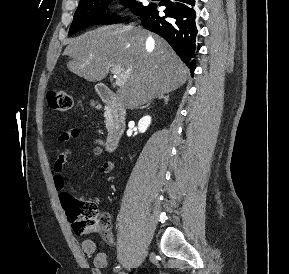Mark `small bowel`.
Returning <instances> with one entry per match:
<instances>
[{"label":"small bowel","instance_id":"c3829d8e","mask_svg":"<svg viewBox=\"0 0 289 274\" xmlns=\"http://www.w3.org/2000/svg\"><path fill=\"white\" fill-rule=\"evenodd\" d=\"M81 136L82 132L79 128H71L67 131L60 133L57 140L58 142L63 143L70 139H79ZM100 144L101 141L97 140V145L94 146L90 151L91 155L93 156L101 155L102 148ZM72 154H73L72 149L68 148L60 152L56 157V160L54 162L53 184L57 191H62L65 188V178L62 175V169L63 166L66 164V162L71 158ZM113 167L114 164L112 161H105L101 165L100 170L102 173H109L113 169ZM103 238L110 246L112 247L116 246L111 233H109L107 236H103ZM81 249L84 252V254L88 256L94 255L93 263L96 268L102 269L108 266L109 264L108 255L103 251H98V245L94 240L84 239L81 242Z\"/></svg>","mask_w":289,"mask_h":274}]
</instances>
